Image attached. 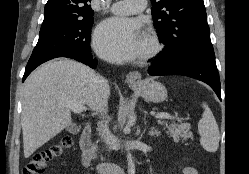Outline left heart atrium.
<instances>
[{
	"mask_svg": "<svg viewBox=\"0 0 249 174\" xmlns=\"http://www.w3.org/2000/svg\"><path fill=\"white\" fill-rule=\"evenodd\" d=\"M141 36L137 20L110 18L96 29L94 47L105 59L114 62L130 61L140 52Z\"/></svg>",
	"mask_w": 249,
	"mask_h": 174,
	"instance_id": "1",
	"label": "left heart atrium"
}]
</instances>
